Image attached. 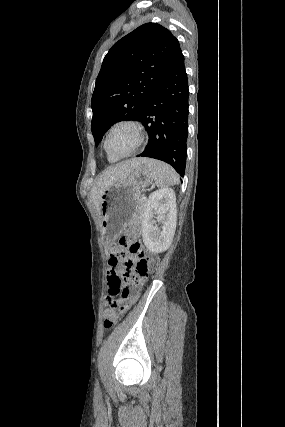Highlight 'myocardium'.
Listing matches in <instances>:
<instances>
[{
    "instance_id": "f54148a6",
    "label": "myocardium",
    "mask_w": 285,
    "mask_h": 427,
    "mask_svg": "<svg viewBox=\"0 0 285 427\" xmlns=\"http://www.w3.org/2000/svg\"><path fill=\"white\" fill-rule=\"evenodd\" d=\"M123 125L130 126V127H132L134 129V131L136 133V143H135V145L133 146V148L129 152L124 153V154H114V153H112L109 150V147H108V138H109L110 133L115 128H117L119 126H123ZM144 137H145L144 128H143V126H142V124L140 122H138L136 120H133V119H122V120H119V121L113 123L109 127V129L107 130V132L105 134V137H104V148H105L106 152L109 155L113 156V157H116V158H125V157H128V156H131L132 154H134L138 150V148L142 145V143L144 141Z\"/></svg>"
}]
</instances>
